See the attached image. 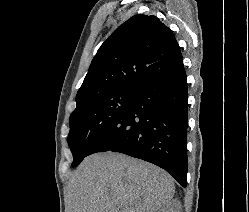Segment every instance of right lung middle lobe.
I'll use <instances>...</instances> for the list:
<instances>
[{
    "label": "right lung middle lobe",
    "instance_id": "1",
    "mask_svg": "<svg viewBox=\"0 0 249 212\" xmlns=\"http://www.w3.org/2000/svg\"><path fill=\"white\" fill-rule=\"evenodd\" d=\"M137 92L117 91L92 97L70 115L68 144L73 154L72 167L89 155L94 143L130 105Z\"/></svg>",
    "mask_w": 249,
    "mask_h": 212
}]
</instances>
